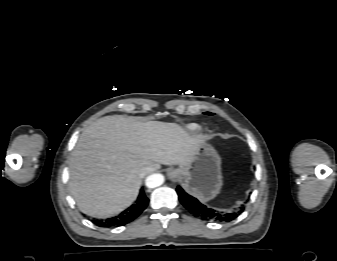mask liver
Wrapping results in <instances>:
<instances>
[{"label": "liver", "instance_id": "1", "mask_svg": "<svg viewBox=\"0 0 337 261\" xmlns=\"http://www.w3.org/2000/svg\"><path fill=\"white\" fill-rule=\"evenodd\" d=\"M203 140L176 123L100 118L83 131L71 154L69 189L84 214L116 215L137 198L145 168L186 166Z\"/></svg>", "mask_w": 337, "mask_h": 261}]
</instances>
